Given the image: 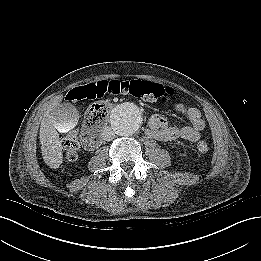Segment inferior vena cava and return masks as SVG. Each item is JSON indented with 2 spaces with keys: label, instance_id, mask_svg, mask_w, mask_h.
<instances>
[{
  "label": "inferior vena cava",
  "instance_id": "1",
  "mask_svg": "<svg viewBox=\"0 0 261 261\" xmlns=\"http://www.w3.org/2000/svg\"><path fill=\"white\" fill-rule=\"evenodd\" d=\"M102 137L106 141H111L115 138V133L111 127H105L102 131Z\"/></svg>",
  "mask_w": 261,
  "mask_h": 261
}]
</instances>
